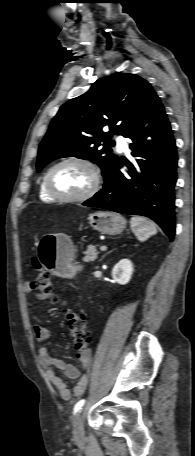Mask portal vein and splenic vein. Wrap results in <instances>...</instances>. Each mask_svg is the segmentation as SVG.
<instances>
[{"mask_svg":"<svg viewBox=\"0 0 195 456\" xmlns=\"http://www.w3.org/2000/svg\"><path fill=\"white\" fill-rule=\"evenodd\" d=\"M107 250V247L106 246H101L100 247V251H106Z\"/></svg>","mask_w":195,"mask_h":456,"instance_id":"portal-vein-and-splenic-vein-1","label":"portal vein and splenic vein"}]
</instances>
